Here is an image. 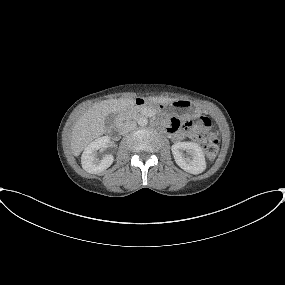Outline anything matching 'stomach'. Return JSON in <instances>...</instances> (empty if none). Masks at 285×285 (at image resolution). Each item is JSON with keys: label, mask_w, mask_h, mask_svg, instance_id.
Masks as SVG:
<instances>
[{"label": "stomach", "mask_w": 285, "mask_h": 285, "mask_svg": "<svg viewBox=\"0 0 285 285\" xmlns=\"http://www.w3.org/2000/svg\"><path fill=\"white\" fill-rule=\"evenodd\" d=\"M149 104L161 114L196 117L199 113L197 106L192 101L186 99H177L168 104L150 101Z\"/></svg>", "instance_id": "0dacf381"}]
</instances>
